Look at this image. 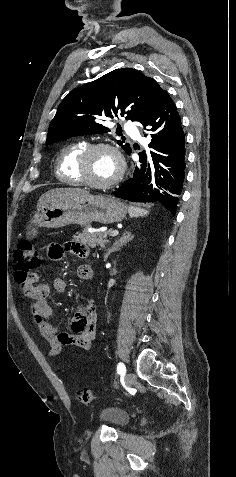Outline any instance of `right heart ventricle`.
<instances>
[{
    "label": "right heart ventricle",
    "instance_id": "right-heart-ventricle-1",
    "mask_svg": "<svg viewBox=\"0 0 236 477\" xmlns=\"http://www.w3.org/2000/svg\"><path fill=\"white\" fill-rule=\"evenodd\" d=\"M84 148V142H74L61 150L55 168L57 178L61 182L70 185L82 184L76 172V165L77 159Z\"/></svg>",
    "mask_w": 236,
    "mask_h": 477
}]
</instances>
